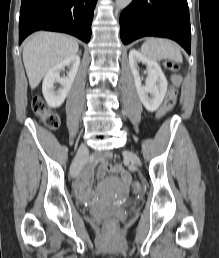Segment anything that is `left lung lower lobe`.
Returning <instances> with one entry per match:
<instances>
[{
	"label": "left lung lower lobe",
	"mask_w": 219,
	"mask_h": 258,
	"mask_svg": "<svg viewBox=\"0 0 219 258\" xmlns=\"http://www.w3.org/2000/svg\"><path fill=\"white\" fill-rule=\"evenodd\" d=\"M120 36L125 45L145 36L170 38L190 54L187 0H133L120 15Z\"/></svg>",
	"instance_id": "1"
}]
</instances>
